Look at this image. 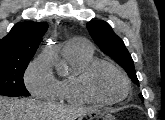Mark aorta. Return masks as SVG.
Returning <instances> with one entry per match:
<instances>
[{"mask_svg": "<svg viewBox=\"0 0 165 120\" xmlns=\"http://www.w3.org/2000/svg\"><path fill=\"white\" fill-rule=\"evenodd\" d=\"M46 56L48 57V59L54 61L56 65H59V63L56 60V52H55L54 48L50 47L46 51Z\"/></svg>", "mask_w": 165, "mask_h": 120, "instance_id": "762f6f07", "label": "aorta"}]
</instances>
